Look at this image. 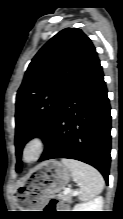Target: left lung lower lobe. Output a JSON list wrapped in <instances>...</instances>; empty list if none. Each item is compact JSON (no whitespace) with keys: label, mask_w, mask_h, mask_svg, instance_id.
Returning a JSON list of instances; mask_svg holds the SVG:
<instances>
[{"label":"left lung lower lobe","mask_w":123,"mask_h":219,"mask_svg":"<svg viewBox=\"0 0 123 219\" xmlns=\"http://www.w3.org/2000/svg\"><path fill=\"white\" fill-rule=\"evenodd\" d=\"M98 57L78 78L62 103L40 161L68 158L95 167L108 182L111 115Z\"/></svg>","instance_id":"obj_1"}]
</instances>
